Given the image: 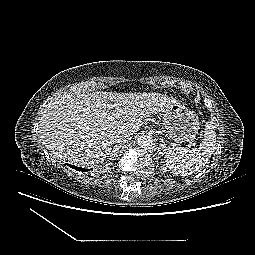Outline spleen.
Masks as SVG:
<instances>
[{
  "label": "spleen",
  "instance_id": "spleen-1",
  "mask_svg": "<svg viewBox=\"0 0 255 255\" xmlns=\"http://www.w3.org/2000/svg\"><path fill=\"white\" fill-rule=\"evenodd\" d=\"M216 133L212 122H206L205 133L198 149L172 148L167 152V167L175 175L186 176L199 172L214 153Z\"/></svg>",
  "mask_w": 255,
  "mask_h": 255
}]
</instances>
